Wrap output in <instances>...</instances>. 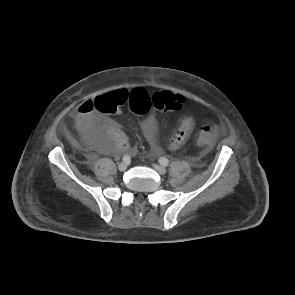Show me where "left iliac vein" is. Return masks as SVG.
Returning a JSON list of instances; mask_svg holds the SVG:
<instances>
[{
    "mask_svg": "<svg viewBox=\"0 0 295 295\" xmlns=\"http://www.w3.org/2000/svg\"><path fill=\"white\" fill-rule=\"evenodd\" d=\"M153 168L160 174L164 175L166 174L167 170L165 167L158 165V164H153Z\"/></svg>",
    "mask_w": 295,
    "mask_h": 295,
    "instance_id": "left-iliac-vein-1",
    "label": "left iliac vein"
}]
</instances>
